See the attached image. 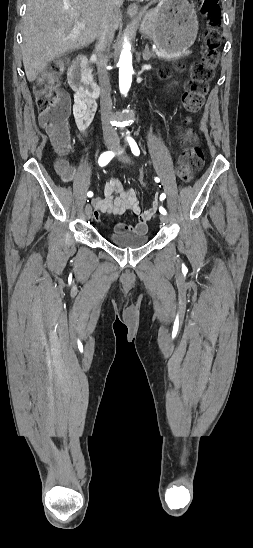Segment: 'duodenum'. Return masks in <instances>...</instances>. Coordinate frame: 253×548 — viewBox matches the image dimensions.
Returning <instances> with one entry per match:
<instances>
[{"label": "duodenum", "mask_w": 253, "mask_h": 548, "mask_svg": "<svg viewBox=\"0 0 253 548\" xmlns=\"http://www.w3.org/2000/svg\"><path fill=\"white\" fill-rule=\"evenodd\" d=\"M88 62V57L85 55H80L73 60L69 69V82L77 94L95 100L99 97L100 89L91 78Z\"/></svg>", "instance_id": "duodenum-1"}]
</instances>
